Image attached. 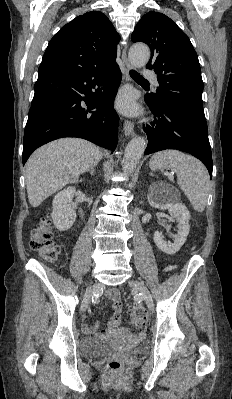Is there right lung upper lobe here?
<instances>
[{
	"label": "right lung upper lobe",
	"mask_w": 232,
	"mask_h": 399,
	"mask_svg": "<svg viewBox=\"0 0 232 399\" xmlns=\"http://www.w3.org/2000/svg\"><path fill=\"white\" fill-rule=\"evenodd\" d=\"M119 35L99 11L78 16L51 39L39 73L81 71L115 62Z\"/></svg>",
	"instance_id": "1"
}]
</instances>
